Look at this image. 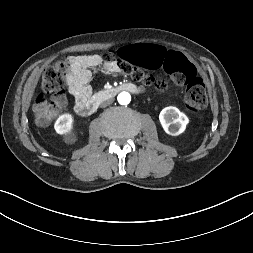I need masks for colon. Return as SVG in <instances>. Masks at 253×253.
<instances>
[{"instance_id":"5ec220e1","label":"colon","mask_w":253,"mask_h":253,"mask_svg":"<svg viewBox=\"0 0 253 253\" xmlns=\"http://www.w3.org/2000/svg\"><path fill=\"white\" fill-rule=\"evenodd\" d=\"M119 59L111 51L101 55L104 62H116L119 68L144 85L158 91L168 88V81L156 77L138 67L160 74L167 71L173 82L186 86L184 106L191 114H196L207 106L205 84L196 74L195 67L180 49L169 50L166 45L156 40L133 43L120 49ZM138 66V67H136ZM69 62L61 60L45 68L42 76V94L34 104L36 122L48 125L60 112L64 104L66 77Z\"/></svg>"}]
</instances>
